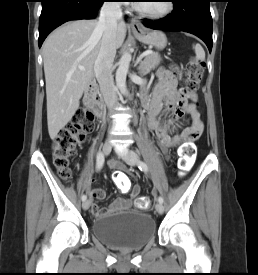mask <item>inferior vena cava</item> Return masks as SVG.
I'll return each instance as SVG.
<instances>
[{"mask_svg": "<svg viewBox=\"0 0 258 275\" xmlns=\"http://www.w3.org/2000/svg\"><path fill=\"white\" fill-rule=\"evenodd\" d=\"M122 11L118 2H105L100 11L97 27L103 30L100 51L94 63V73L101 93L109 109L117 103V89L114 85L112 65L116 55V31Z\"/></svg>", "mask_w": 258, "mask_h": 275, "instance_id": "602c4592", "label": "inferior vena cava"}]
</instances>
